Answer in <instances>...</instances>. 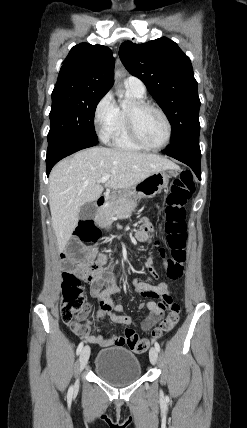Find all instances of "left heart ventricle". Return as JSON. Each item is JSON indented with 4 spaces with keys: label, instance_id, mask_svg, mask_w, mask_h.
<instances>
[{
    "label": "left heart ventricle",
    "instance_id": "obj_1",
    "mask_svg": "<svg viewBox=\"0 0 247 428\" xmlns=\"http://www.w3.org/2000/svg\"><path fill=\"white\" fill-rule=\"evenodd\" d=\"M136 127L141 138L150 145H159L166 138L167 127L165 121L153 109H144L137 113Z\"/></svg>",
    "mask_w": 247,
    "mask_h": 428
}]
</instances>
